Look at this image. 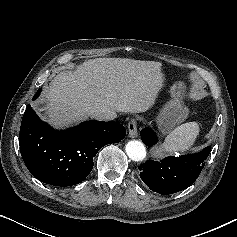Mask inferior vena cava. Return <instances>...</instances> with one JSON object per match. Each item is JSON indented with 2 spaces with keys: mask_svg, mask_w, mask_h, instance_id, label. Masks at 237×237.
<instances>
[{
  "mask_svg": "<svg viewBox=\"0 0 237 237\" xmlns=\"http://www.w3.org/2000/svg\"><path fill=\"white\" fill-rule=\"evenodd\" d=\"M93 117L102 121H109L116 118V113L110 110H100L93 112Z\"/></svg>",
  "mask_w": 237,
  "mask_h": 237,
  "instance_id": "obj_1",
  "label": "inferior vena cava"
}]
</instances>
